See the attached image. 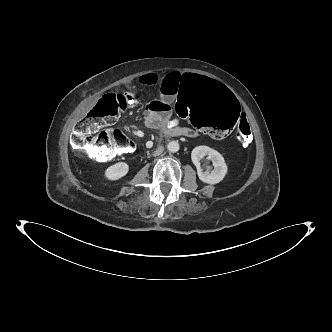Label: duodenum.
Masks as SVG:
<instances>
[{"mask_svg":"<svg viewBox=\"0 0 332 332\" xmlns=\"http://www.w3.org/2000/svg\"><path fill=\"white\" fill-rule=\"evenodd\" d=\"M161 136L163 138L182 137L185 136L183 129L178 127L166 126L161 129Z\"/></svg>","mask_w":332,"mask_h":332,"instance_id":"obj_1","label":"duodenum"}]
</instances>
